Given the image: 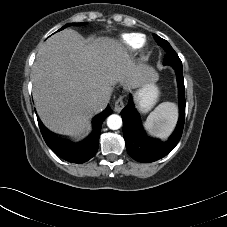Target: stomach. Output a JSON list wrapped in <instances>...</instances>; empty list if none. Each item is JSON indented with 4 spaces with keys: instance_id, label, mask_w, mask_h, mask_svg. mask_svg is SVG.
Returning a JSON list of instances; mask_svg holds the SVG:
<instances>
[{
    "instance_id": "0dacf381",
    "label": "stomach",
    "mask_w": 227,
    "mask_h": 227,
    "mask_svg": "<svg viewBox=\"0 0 227 227\" xmlns=\"http://www.w3.org/2000/svg\"><path fill=\"white\" fill-rule=\"evenodd\" d=\"M158 98V89L152 80L143 85L141 89L135 92V99L141 112H148L155 104Z\"/></svg>"
}]
</instances>
